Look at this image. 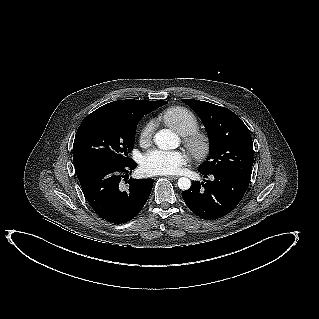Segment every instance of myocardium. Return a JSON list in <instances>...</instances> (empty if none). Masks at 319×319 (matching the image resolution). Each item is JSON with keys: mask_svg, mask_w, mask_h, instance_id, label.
I'll use <instances>...</instances> for the list:
<instances>
[{"mask_svg": "<svg viewBox=\"0 0 319 319\" xmlns=\"http://www.w3.org/2000/svg\"><path fill=\"white\" fill-rule=\"evenodd\" d=\"M184 142L192 156L198 160H203L210 154L211 141L203 132L195 131L186 135Z\"/></svg>", "mask_w": 319, "mask_h": 319, "instance_id": "obj_1", "label": "myocardium"}]
</instances>
